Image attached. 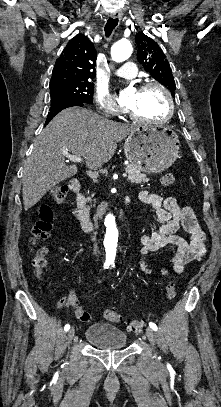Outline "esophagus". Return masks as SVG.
I'll use <instances>...</instances> for the list:
<instances>
[{"label": "esophagus", "instance_id": "34e87169", "mask_svg": "<svg viewBox=\"0 0 221 407\" xmlns=\"http://www.w3.org/2000/svg\"><path fill=\"white\" fill-rule=\"evenodd\" d=\"M112 18H118L119 20H121L122 19V13L121 12L113 13Z\"/></svg>", "mask_w": 221, "mask_h": 407}]
</instances>
